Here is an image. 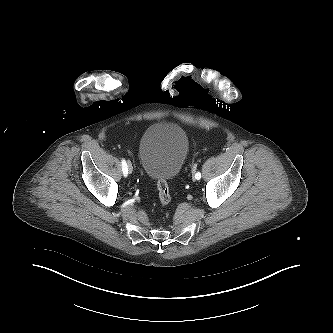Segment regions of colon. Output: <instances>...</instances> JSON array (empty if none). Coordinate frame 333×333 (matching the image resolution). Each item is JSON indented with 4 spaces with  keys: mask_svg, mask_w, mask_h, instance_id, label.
I'll return each instance as SVG.
<instances>
[{
    "mask_svg": "<svg viewBox=\"0 0 333 333\" xmlns=\"http://www.w3.org/2000/svg\"><path fill=\"white\" fill-rule=\"evenodd\" d=\"M159 201L162 206H167L171 202V195L169 192V186L166 180L160 179L157 181Z\"/></svg>",
    "mask_w": 333,
    "mask_h": 333,
    "instance_id": "1",
    "label": "colon"
}]
</instances>
